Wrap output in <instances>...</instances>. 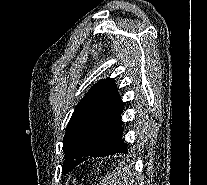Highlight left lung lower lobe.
I'll return each mask as SVG.
<instances>
[{"mask_svg": "<svg viewBox=\"0 0 207 185\" xmlns=\"http://www.w3.org/2000/svg\"><path fill=\"white\" fill-rule=\"evenodd\" d=\"M121 136H122V126L120 124V126L116 130L115 134L113 135L112 139L110 140V142L108 143V146L106 147L104 151L99 152V153H92V154L84 155L78 161L77 164L85 161L88 157H105V156L115 155L119 153L127 154L128 153L127 145L124 143V140L121 138Z\"/></svg>", "mask_w": 207, "mask_h": 185, "instance_id": "left-lung-lower-lobe-1", "label": "left lung lower lobe"}]
</instances>
